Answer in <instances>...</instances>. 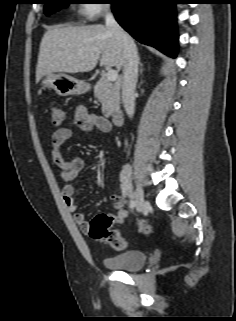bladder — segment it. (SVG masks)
Segmentation results:
<instances>
[{
	"instance_id": "31cf9c89",
	"label": "bladder",
	"mask_w": 236,
	"mask_h": 321,
	"mask_svg": "<svg viewBox=\"0 0 236 321\" xmlns=\"http://www.w3.org/2000/svg\"><path fill=\"white\" fill-rule=\"evenodd\" d=\"M147 255L142 250H128L123 253L105 257L103 263L114 270L136 271L144 267Z\"/></svg>"
}]
</instances>
